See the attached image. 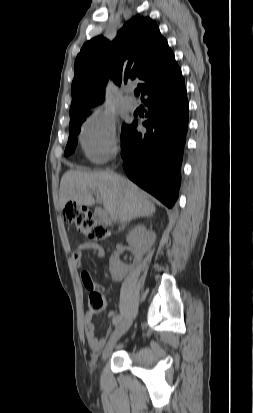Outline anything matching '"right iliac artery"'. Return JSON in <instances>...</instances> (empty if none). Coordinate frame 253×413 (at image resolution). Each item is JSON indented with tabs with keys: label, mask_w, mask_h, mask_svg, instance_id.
Listing matches in <instances>:
<instances>
[{
	"label": "right iliac artery",
	"mask_w": 253,
	"mask_h": 413,
	"mask_svg": "<svg viewBox=\"0 0 253 413\" xmlns=\"http://www.w3.org/2000/svg\"><path fill=\"white\" fill-rule=\"evenodd\" d=\"M122 321V317L121 316H117L115 319V325L119 324Z\"/></svg>",
	"instance_id": "82829eb1"
}]
</instances>
